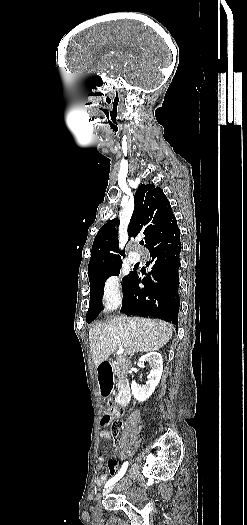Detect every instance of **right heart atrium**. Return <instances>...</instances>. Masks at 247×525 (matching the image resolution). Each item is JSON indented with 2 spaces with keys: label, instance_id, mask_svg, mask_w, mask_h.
<instances>
[{
  "label": "right heart atrium",
  "instance_id": "1",
  "mask_svg": "<svg viewBox=\"0 0 247 525\" xmlns=\"http://www.w3.org/2000/svg\"><path fill=\"white\" fill-rule=\"evenodd\" d=\"M101 300L106 310H114L122 300L120 279L111 275L105 279L102 285Z\"/></svg>",
  "mask_w": 247,
  "mask_h": 525
}]
</instances>
